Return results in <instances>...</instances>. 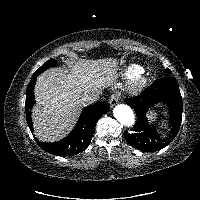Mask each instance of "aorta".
<instances>
[{
  "mask_svg": "<svg viewBox=\"0 0 200 200\" xmlns=\"http://www.w3.org/2000/svg\"><path fill=\"white\" fill-rule=\"evenodd\" d=\"M116 120L124 126L131 127L135 124V115L133 110L125 104H118L113 109Z\"/></svg>",
  "mask_w": 200,
  "mask_h": 200,
  "instance_id": "762f6f07",
  "label": "aorta"
}]
</instances>
